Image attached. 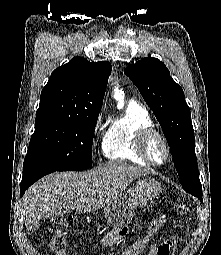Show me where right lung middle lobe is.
<instances>
[{"label":"right lung middle lobe","instance_id":"obj_1","mask_svg":"<svg viewBox=\"0 0 221 255\" xmlns=\"http://www.w3.org/2000/svg\"><path fill=\"white\" fill-rule=\"evenodd\" d=\"M100 111L84 116L36 115L23 164L30 169L78 171L92 166V141Z\"/></svg>","mask_w":221,"mask_h":255}]
</instances>
